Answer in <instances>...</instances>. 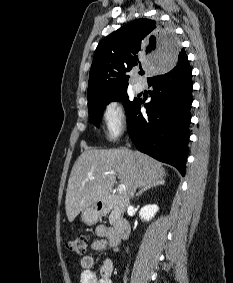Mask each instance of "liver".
<instances>
[{
	"instance_id": "obj_1",
	"label": "liver",
	"mask_w": 233,
	"mask_h": 283,
	"mask_svg": "<svg viewBox=\"0 0 233 283\" xmlns=\"http://www.w3.org/2000/svg\"><path fill=\"white\" fill-rule=\"evenodd\" d=\"M115 172L125 193L164 183L162 164L139 151L126 149H86L76 160L66 190L65 209L72 222L85 208L107 199L116 182ZM94 177V179H91Z\"/></svg>"
}]
</instances>
